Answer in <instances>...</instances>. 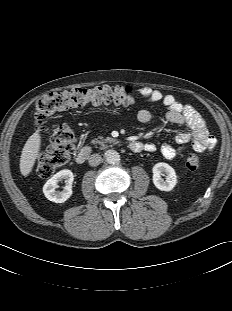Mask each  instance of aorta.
<instances>
[{"label": "aorta", "mask_w": 232, "mask_h": 311, "mask_svg": "<svg viewBox=\"0 0 232 311\" xmlns=\"http://www.w3.org/2000/svg\"><path fill=\"white\" fill-rule=\"evenodd\" d=\"M104 157L107 163L116 164L120 162V155L116 150L109 149L104 153Z\"/></svg>", "instance_id": "aorta-1"}]
</instances>
